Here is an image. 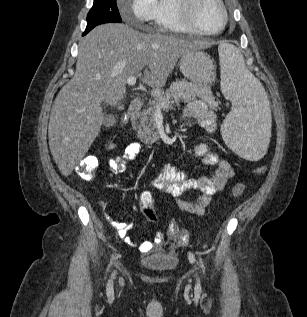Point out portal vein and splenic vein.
I'll use <instances>...</instances> for the list:
<instances>
[{"label": "portal vein and splenic vein", "mask_w": 307, "mask_h": 317, "mask_svg": "<svg viewBox=\"0 0 307 317\" xmlns=\"http://www.w3.org/2000/svg\"><path fill=\"white\" fill-rule=\"evenodd\" d=\"M136 81H137V77L136 76H131V77H129L127 79V84L129 86H134ZM169 106H170V102H163V103H161L159 105H155V110H156V112H160L161 109L168 108Z\"/></svg>", "instance_id": "18ae733b"}]
</instances>
